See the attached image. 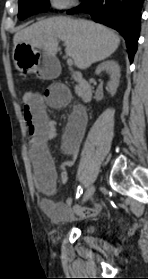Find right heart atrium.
Instances as JSON below:
<instances>
[{
    "instance_id": "obj_1",
    "label": "right heart atrium",
    "mask_w": 148,
    "mask_h": 279,
    "mask_svg": "<svg viewBox=\"0 0 148 279\" xmlns=\"http://www.w3.org/2000/svg\"><path fill=\"white\" fill-rule=\"evenodd\" d=\"M77 4V0H51L53 8L58 10H65L74 7Z\"/></svg>"
}]
</instances>
